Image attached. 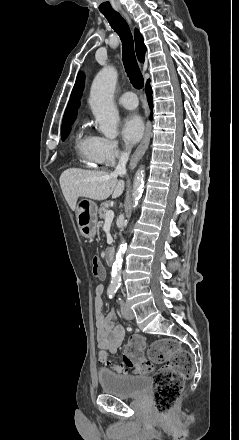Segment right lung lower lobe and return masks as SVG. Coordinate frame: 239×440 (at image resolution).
Here are the masks:
<instances>
[{
    "label": "right lung lower lobe",
    "mask_w": 239,
    "mask_h": 440,
    "mask_svg": "<svg viewBox=\"0 0 239 440\" xmlns=\"http://www.w3.org/2000/svg\"><path fill=\"white\" fill-rule=\"evenodd\" d=\"M146 93H147V96H148L149 105H150L151 110H152V107H153V103H152V89H151L150 81L149 80H148V82L146 84ZM150 118H152V114H151Z\"/></svg>",
    "instance_id": "98d812e1"
}]
</instances>
